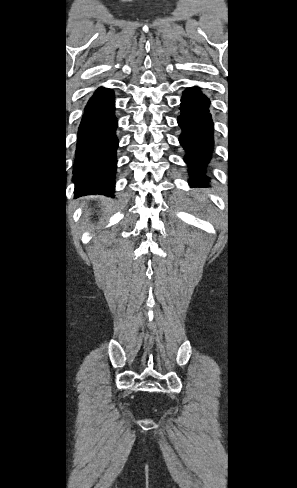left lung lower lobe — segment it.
<instances>
[{
    "label": "left lung lower lobe",
    "instance_id": "1",
    "mask_svg": "<svg viewBox=\"0 0 297 488\" xmlns=\"http://www.w3.org/2000/svg\"><path fill=\"white\" fill-rule=\"evenodd\" d=\"M210 101L199 87L186 89L181 99L178 124L183 132L179 138L185 148V160L190 165L192 186L207 185L206 165L213 149V122L209 113Z\"/></svg>",
    "mask_w": 297,
    "mask_h": 488
}]
</instances>
